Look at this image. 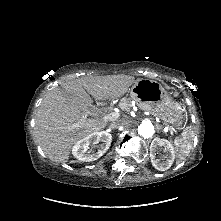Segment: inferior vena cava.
Wrapping results in <instances>:
<instances>
[{
    "mask_svg": "<svg viewBox=\"0 0 221 221\" xmlns=\"http://www.w3.org/2000/svg\"><path fill=\"white\" fill-rule=\"evenodd\" d=\"M126 124H127V122L124 119H120V120L113 122L111 124V127L112 128H120V127H124Z\"/></svg>",
    "mask_w": 221,
    "mask_h": 221,
    "instance_id": "inferior-vena-cava-1",
    "label": "inferior vena cava"
}]
</instances>
